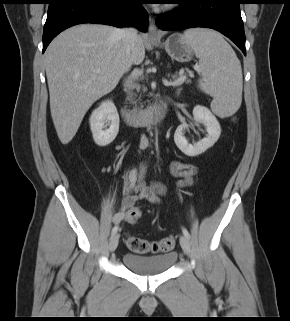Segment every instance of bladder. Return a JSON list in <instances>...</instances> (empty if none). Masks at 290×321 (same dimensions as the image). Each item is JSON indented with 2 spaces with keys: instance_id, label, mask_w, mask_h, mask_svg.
<instances>
[{
  "instance_id": "1",
  "label": "bladder",
  "mask_w": 290,
  "mask_h": 321,
  "mask_svg": "<svg viewBox=\"0 0 290 321\" xmlns=\"http://www.w3.org/2000/svg\"><path fill=\"white\" fill-rule=\"evenodd\" d=\"M177 253L169 251L159 255L126 253L123 263L130 271L141 276H156L167 272L176 262Z\"/></svg>"
}]
</instances>
